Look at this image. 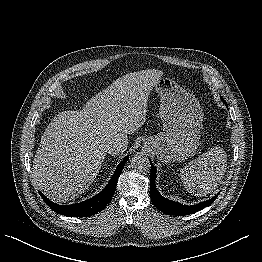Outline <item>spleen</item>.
I'll return each mask as SVG.
<instances>
[{
    "instance_id": "3e777b00",
    "label": "spleen",
    "mask_w": 262,
    "mask_h": 262,
    "mask_svg": "<svg viewBox=\"0 0 262 262\" xmlns=\"http://www.w3.org/2000/svg\"><path fill=\"white\" fill-rule=\"evenodd\" d=\"M226 167L227 155L224 149L215 147L183 167L180 178L188 192L205 196L220 184Z\"/></svg>"
}]
</instances>
